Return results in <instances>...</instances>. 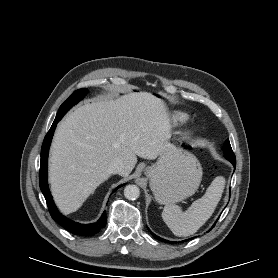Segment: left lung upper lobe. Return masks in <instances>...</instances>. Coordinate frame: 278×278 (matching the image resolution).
Here are the masks:
<instances>
[{
	"instance_id": "obj_1",
	"label": "left lung upper lobe",
	"mask_w": 278,
	"mask_h": 278,
	"mask_svg": "<svg viewBox=\"0 0 278 278\" xmlns=\"http://www.w3.org/2000/svg\"><path fill=\"white\" fill-rule=\"evenodd\" d=\"M224 150V154H225V157L230 160V161H235L236 162V159H235V155L232 151V148H231V145H230V142L229 140H227L222 148Z\"/></svg>"
}]
</instances>
